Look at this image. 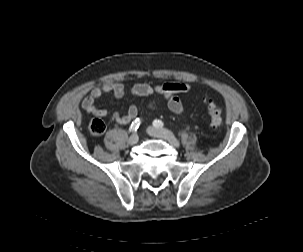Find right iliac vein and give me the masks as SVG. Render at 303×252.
<instances>
[{
    "label": "right iliac vein",
    "mask_w": 303,
    "mask_h": 252,
    "mask_svg": "<svg viewBox=\"0 0 303 252\" xmlns=\"http://www.w3.org/2000/svg\"><path fill=\"white\" fill-rule=\"evenodd\" d=\"M139 138H138V135L136 133L132 134L129 139H128V143L130 145H134L138 142Z\"/></svg>",
    "instance_id": "right-iliac-vein-1"
}]
</instances>
